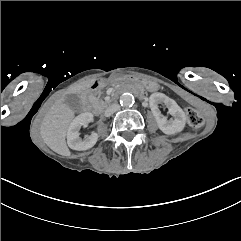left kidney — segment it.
Instances as JSON below:
<instances>
[{
  "label": "left kidney",
  "instance_id": "left-kidney-1",
  "mask_svg": "<svg viewBox=\"0 0 241 241\" xmlns=\"http://www.w3.org/2000/svg\"><path fill=\"white\" fill-rule=\"evenodd\" d=\"M164 103L169 114L173 116L174 119L167 120V117L163 116L158 108V104ZM149 105L151 111L156 119L159 129L165 134H175L183 130L185 126V113L177 105V103L166 96L163 93H153L149 98Z\"/></svg>",
  "mask_w": 241,
  "mask_h": 241
}]
</instances>
